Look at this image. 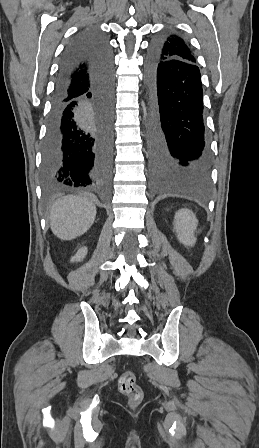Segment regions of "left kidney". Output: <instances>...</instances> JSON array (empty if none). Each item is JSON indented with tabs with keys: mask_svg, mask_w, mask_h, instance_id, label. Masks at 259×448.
<instances>
[{
	"mask_svg": "<svg viewBox=\"0 0 259 448\" xmlns=\"http://www.w3.org/2000/svg\"><path fill=\"white\" fill-rule=\"evenodd\" d=\"M198 220L195 214L188 208L178 210L174 218V230L177 238L184 246H194L196 238L194 232L197 228Z\"/></svg>",
	"mask_w": 259,
	"mask_h": 448,
	"instance_id": "5707ae66",
	"label": "left kidney"
}]
</instances>
